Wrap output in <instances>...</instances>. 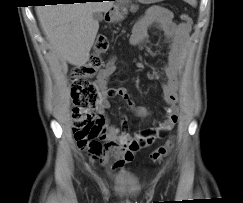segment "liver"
<instances>
[{"label": "liver", "instance_id": "obj_1", "mask_svg": "<svg viewBox=\"0 0 243 203\" xmlns=\"http://www.w3.org/2000/svg\"><path fill=\"white\" fill-rule=\"evenodd\" d=\"M112 7V1L41 5L36 13L52 47L70 64L80 67L89 60L99 29L93 13Z\"/></svg>", "mask_w": 243, "mask_h": 203}]
</instances>
